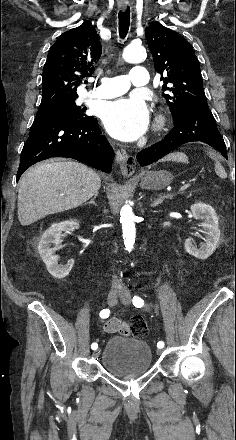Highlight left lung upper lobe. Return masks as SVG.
I'll return each instance as SVG.
<instances>
[{
    "mask_svg": "<svg viewBox=\"0 0 236 440\" xmlns=\"http://www.w3.org/2000/svg\"><path fill=\"white\" fill-rule=\"evenodd\" d=\"M145 34L155 69L165 75L162 89L168 93L163 97L175 123L190 106L207 103L198 59L189 42L159 22H152Z\"/></svg>",
    "mask_w": 236,
    "mask_h": 440,
    "instance_id": "1",
    "label": "left lung upper lobe"
}]
</instances>
